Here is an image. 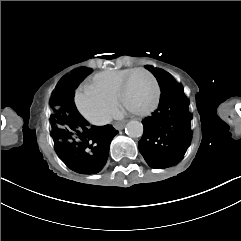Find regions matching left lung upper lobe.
Here are the masks:
<instances>
[{
	"instance_id": "obj_1",
	"label": "left lung upper lobe",
	"mask_w": 241,
	"mask_h": 241,
	"mask_svg": "<svg viewBox=\"0 0 241 241\" xmlns=\"http://www.w3.org/2000/svg\"><path fill=\"white\" fill-rule=\"evenodd\" d=\"M146 69L151 71L153 75L157 78V81L161 87V91H164L167 87L171 85L178 84L174 78L162 69H156L151 66H146Z\"/></svg>"
}]
</instances>
